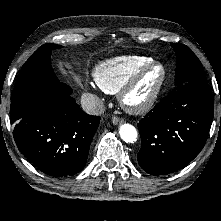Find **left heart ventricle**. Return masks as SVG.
Wrapping results in <instances>:
<instances>
[{"mask_svg":"<svg viewBox=\"0 0 221 221\" xmlns=\"http://www.w3.org/2000/svg\"><path fill=\"white\" fill-rule=\"evenodd\" d=\"M160 77V69L155 68L149 71L137 88L130 95V100L133 102H138L143 100L154 87L155 83Z\"/></svg>","mask_w":221,"mask_h":221,"instance_id":"1","label":"left heart ventricle"}]
</instances>
